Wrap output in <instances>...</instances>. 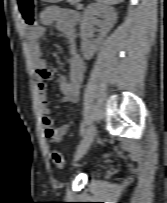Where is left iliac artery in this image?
<instances>
[{
  "label": "left iliac artery",
  "instance_id": "left-iliac-artery-1",
  "mask_svg": "<svg viewBox=\"0 0 167 203\" xmlns=\"http://www.w3.org/2000/svg\"><path fill=\"white\" fill-rule=\"evenodd\" d=\"M84 131H85V123L82 122L81 125H80V135H83Z\"/></svg>",
  "mask_w": 167,
  "mask_h": 203
}]
</instances>
